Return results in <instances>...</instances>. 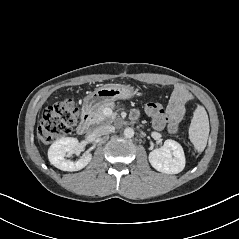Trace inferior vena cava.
<instances>
[{
  "label": "inferior vena cava",
  "instance_id": "1",
  "mask_svg": "<svg viewBox=\"0 0 239 239\" xmlns=\"http://www.w3.org/2000/svg\"><path fill=\"white\" fill-rule=\"evenodd\" d=\"M115 127L112 125H101L95 130L97 136L107 135L114 132Z\"/></svg>",
  "mask_w": 239,
  "mask_h": 239
}]
</instances>
